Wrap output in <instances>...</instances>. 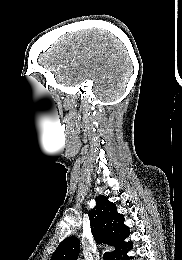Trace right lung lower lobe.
Returning a JSON list of instances; mask_svg holds the SVG:
<instances>
[{
  "instance_id": "98d812e1",
  "label": "right lung lower lobe",
  "mask_w": 182,
  "mask_h": 260,
  "mask_svg": "<svg viewBox=\"0 0 182 260\" xmlns=\"http://www.w3.org/2000/svg\"><path fill=\"white\" fill-rule=\"evenodd\" d=\"M132 248V245H128L125 249L119 252L113 257V260H130L131 258L127 256V251Z\"/></svg>"
}]
</instances>
